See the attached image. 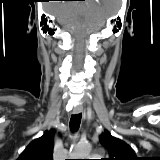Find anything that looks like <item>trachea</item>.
Segmentation results:
<instances>
[{"mask_svg": "<svg viewBox=\"0 0 160 160\" xmlns=\"http://www.w3.org/2000/svg\"><path fill=\"white\" fill-rule=\"evenodd\" d=\"M80 123H81V114L72 115L71 119H70V129H71V131L76 132L80 127Z\"/></svg>", "mask_w": 160, "mask_h": 160, "instance_id": "obj_1", "label": "trachea"}]
</instances>
